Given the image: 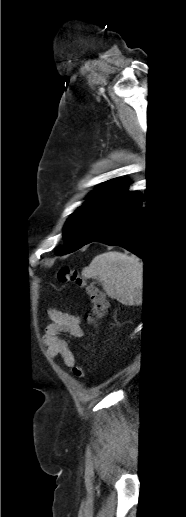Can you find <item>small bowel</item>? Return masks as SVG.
<instances>
[{
	"label": "small bowel",
	"mask_w": 186,
	"mask_h": 517,
	"mask_svg": "<svg viewBox=\"0 0 186 517\" xmlns=\"http://www.w3.org/2000/svg\"><path fill=\"white\" fill-rule=\"evenodd\" d=\"M51 322L46 327L44 343L48 355L52 359L61 358L67 367L75 365V357L69 342L62 335L82 338L84 335L79 316L61 312L56 309L50 311Z\"/></svg>",
	"instance_id": "small-bowel-1"
}]
</instances>
